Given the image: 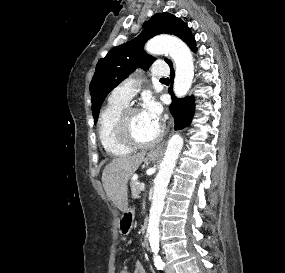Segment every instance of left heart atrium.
<instances>
[{"mask_svg":"<svg viewBox=\"0 0 285 273\" xmlns=\"http://www.w3.org/2000/svg\"><path fill=\"white\" fill-rule=\"evenodd\" d=\"M141 113L148 120L159 124L161 119L162 108L160 104L152 97H147L142 105Z\"/></svg>","mask_w":285,"mask_h":273,"instance_id":"39dd6f15","label":"left heart atrium"}]
</instances>
